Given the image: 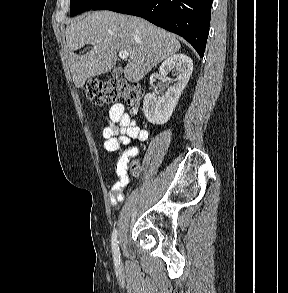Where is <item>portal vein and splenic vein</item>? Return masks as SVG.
Masks as SVG:
<instances>
[{
    "label": "portal vein and splenic vein",
    "instance_id": "portal-vein-and-splenic-vein-1",
    "mask_svg": "<svg viewBox=\"0 0 288 293\" xmlns=\"http://www.w3.org/2000/svg\"><path fill=\"white\" fill-rule=\"evenodd\" d=\"M128 56H129V53H128L127 51L121 50V51L119 52V57H120L121 59H127Z\"/></svg>",
    "mask_w": 288,
    "mask_h": 293
}]
</instances>
